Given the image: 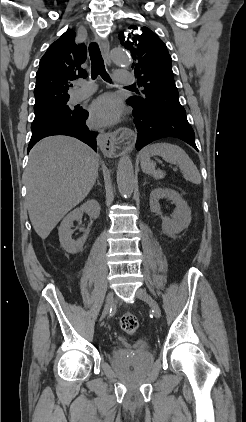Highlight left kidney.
Instances as JSON below:
<instances>
[{"mask_svg":"<svg viewBox=\"0 0 246 422\" xmlns=\"http://www.w3.org/2000/svg\"><path fill=\"white\" fill-rule=\"evenodd\" d=\"M167 198L171 200L176 208L169 217H162V230L163 232L173 237L175 234L180 233L187 228L191 222V210L187 205V202L181 197V195L170 188H155L150 193V210L153 213L161 214V206L159 203L160 199Z\"/></svg>","mask_w":246,"mask_h":422,"instance_id":"obj_1","label":"left kidney"}]
</instances>
